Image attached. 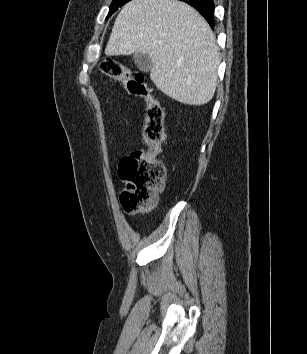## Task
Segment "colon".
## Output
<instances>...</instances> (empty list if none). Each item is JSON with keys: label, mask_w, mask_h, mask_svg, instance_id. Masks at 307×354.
I'll return each instance as SVG.
<instances>
[{"label": "colon", "mask_w": 307, "mask_h": 354, "mask_svg": "<svg viewBox=\"0 0 307 354\" xmlns=\"http://www.w3.org/2000/svg\"><path fill=\"white\" fill-rule=\"evenodd\" d=\"M100 70L108 78L124 84L131 95L144 99L146 103V148L121 160L119 176L126 183V188L120 195L125 213L135 215L149 211L157 203V195L163 187L165 176L164 165L157 158L164 140L163 109L142 74L134 73L111 57L100 63Z\"/></svg>", "instance_id": "colon-1"}]
</instances>
